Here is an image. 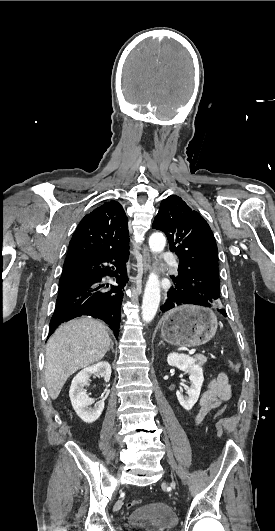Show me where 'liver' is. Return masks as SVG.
Returning a JSON list of instances; mask_svg holds the SVG:
<instances>
[{
    "label": "liver",
    "instance_id": "1",
    "mask_svg": "<svg viewBox=\"0 0 275 531\" xmlns=\"http://www.w3.org/2000/svg\"><path fill=\"white\" fill-rule=\"evenodd\" d=\"M111 339L105 325L91 317L60 325L46 349L45 381L51 399H57L70 375L103 359Z\"/></svg>",
    "mask_w": 275,
    "mask_h": 531
}]
</instances>
